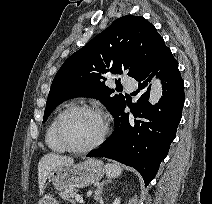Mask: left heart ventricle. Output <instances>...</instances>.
I'll return each mask as SVG.
<instances>
[{
	"mask_svg": "<svg viewBox=\"0 0 212 204\" xmlns=\"http://www.w3.org/2000/svg\"><path fill=\"white\" fill-rule=\"evenodd\" d=\"M102 123L98 115L87 111H75L66 116L62 132L66 141L74 147H85L101 133Z\"/></svg>",
	"mask_w": 212,
	"mask_h": 204,
	"instance_id": "obj_1",
	"label": "left heart ventricle"
}]
</instances>
